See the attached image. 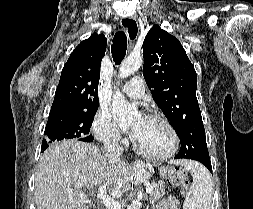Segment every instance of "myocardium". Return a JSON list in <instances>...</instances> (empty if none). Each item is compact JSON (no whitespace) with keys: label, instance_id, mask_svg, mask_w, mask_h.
<instances>
[{"label":"myocardium","instance_id":"obj_1","mask_svg":"<svg viewBox=\"0 0 253 209\" xmlns=\"http://www.w3.org/2000/svg\"><path fill=\"white\" fill-rule=\"evenodd\" d=\"M148 118L156 119V120L162 122L168 128V130L171 134V138H172L171 147L169 148V150H167L166 152H164L162 154H151V153L144 151L134 140L133 141V148L140 156H142L148 160L164 161L176 153V151L179 147L178 133H177L175 127L173 126V124L165 116L158 114V113H150L148 115Z\"/></svg>","mask_w":253,"mask_h":209}]
</instances>
